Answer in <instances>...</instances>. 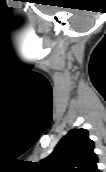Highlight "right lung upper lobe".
Masks as SVG:
<instances>
[{
	"label": "right lung upper lobe",
	"instance_id": "1",
	"mask_svg": "<svg viewBox=\"0 0 106 172\" xmlns=\"http://www.w3.org/2000/svg\"><path fill=\"white\" fill-rule=\"evenodd\" d=\"M97 163L94 142L88 137V131L72 129L39 164L44 172H100Z\"/></svg>",
	"mask_w": 106,
	"mask_h": 172
}]
</instances>
